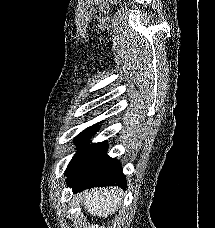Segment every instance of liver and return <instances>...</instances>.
<instances>
[{"label":"liver","mask_w":215,"mask_h":228,"mask_svg":"<svg viewBox=\"0 0 215 228\" xmlns=\"http://www.w3.org/2000/svg\"><path fill=\"white\" fill-rule=\"evenodd\" d=\"M122 192L123 190L116 186L114 188H91V190H84L82 194H77V198L82 196L83 206L91 216L108 218L117 212L118 206H121Z\"/></svg>","instance_id":"obj_1"}]
</instances>
